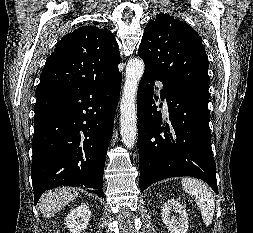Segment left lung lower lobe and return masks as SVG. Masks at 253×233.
<instances>
[{"label": "left lung lower lobe", "mask_w": 253, "mask_h": 233, "mask_svg": "<svg viewBox=\"0 0 253 233\" xmlns=\"http://www.w3.org/2000/svg\"><path fill=\"white\" fill-rule=\"evenodd\" d=\"M155 80V75L144 71L137 93L140 190L166 178L192 176L218 193L208 89L188 87L175 91L163 86L161 98L167 100L169 123H162L152 87Z\"/></svg>", "instance_id": "1"}]
</instances>
